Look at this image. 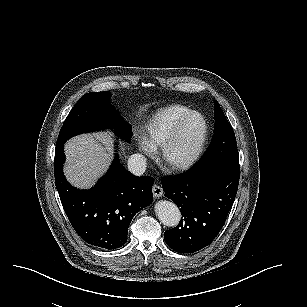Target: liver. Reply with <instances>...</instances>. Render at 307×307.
I'll return each instance as SVG.
<instances>
[{
	"label": "liver",
	"instance_id": "1",
	"mask_svg": "<svg viewBox=\"0 0 307 307\" xmlns=\"http://www.w3.org/2000/svg\"><path fill=\"white\" fill-rule=\"evenodd\" d=\"M113 138L108 134H82L65 144L64 174L71 185L80 189L92 187L113 160ZM125 154V145L120 143Z\"/></svg>",
	"mask_w": 307,
	"mask_h": 307
}]
</instances>
